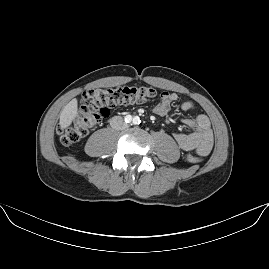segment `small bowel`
<instances>
[{"instance_id":"small-bowel-1","label":"small bowel","mask_w":269,"mask_h":269,"mask_svg":"<svg viewBox=\"0 0 269 269\" xmlns=\"http://www.w3.org/2000/svg\"><path fill=\"white\" fill-rule=\"evenodd\" d=\"M178 100L175 92H165L162 94L154 111L159 116L169 113L171 105ZM182 111H194L195 104L186 100L181 103ZM182 122L194 132L191 134L174 133V139L178 146L185 151H195L199 156H206L212 150L214 144V132L209 118L206 115H198L194 118H184Z\"/></svg>"}]
</instances>
